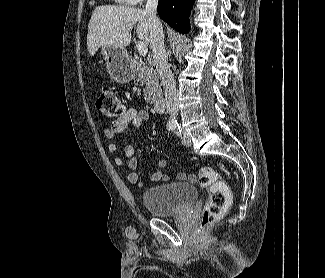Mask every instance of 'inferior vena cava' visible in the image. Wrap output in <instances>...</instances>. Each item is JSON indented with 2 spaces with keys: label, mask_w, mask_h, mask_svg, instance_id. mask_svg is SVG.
<instances>
[{
  "label": "inferior vena cava",
  "mask_w": 325,
  "mask_h": 278,
  "mask_svg": "<svg viewBox=\"0 0 325 278\" xmlns=\"http://www.w3.org/2000/svg\"><path fill=\"white\" fill-rule=\"evenodd\" d=\"M158 0H147L145 11L150 22V48L157 72L165 89V103L167 113L172 118L178 116V99L174 76L168 65V57L164 47L162 24L157 17Z\"/></svg>",
  "instance_id": "inferior-vena-cava-1"
}]
</instances>
